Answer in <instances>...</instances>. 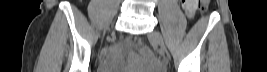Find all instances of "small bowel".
Here are the masks:
<instances>
[{
	"label": "small bowel",
	"mask_w": 267,
	"mask_h": 72,
	"mask_svg": "<svg viewBox=\"0 0 267 72\" xmlns=\"http://www.w3.org/2000/svg\"><path fill=\"white\" fill-rule=\"evenodd\" d=\"M182 6L185 9L189 17H191L197 10L196 0H184L182 3Z\"/></svg>",
	"instance_id": "c3829d8e"
}]
</instances>
